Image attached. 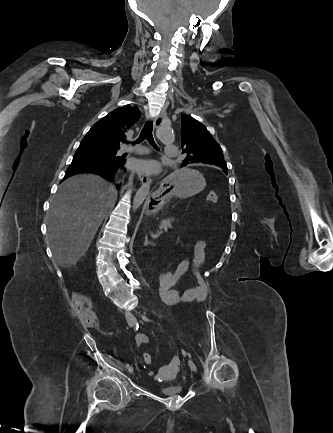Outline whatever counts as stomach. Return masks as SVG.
I'll use <instances>...</instances> for the list:
<instances>
[{"instance_id":"0dacf381","label":"stomach","mask_w":333,"mask_h":433,"mask_svg":"<svg viewBox=\"0 0 333 433\" xmlns=\"http://www.w3.org/2000/svg\"><path fill=\"white\" fill-rule=\"evenodd\" d=\"M202 172L198 169H176L175 174L164 176L163 183L157 186L149 202L147 212L151 217L159 215L162 208V198L173 196L174 198L193 196L205 187Z\"/></svg>"}]
</instances>
